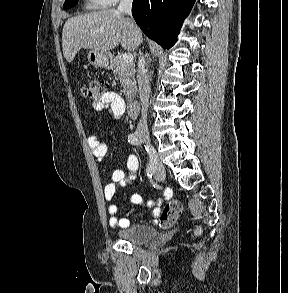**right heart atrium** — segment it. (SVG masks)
<instances>
[{
  "instance_id": "obj_1",
  "label": "right heart atrium",
  "mask_w": 288,
  "mask_h": 293,
  "mask_svg": "<svg viewBox=\"0 0 288 293\" xmlns=\"http://www.w3.org/2000/svg\"><path fill=\"white\" fill-rule=\"evenodd\" d=\"M107 2L108 5H114L116 3H118L120 0H105Z\"/></svg>"
}]
</instances>
